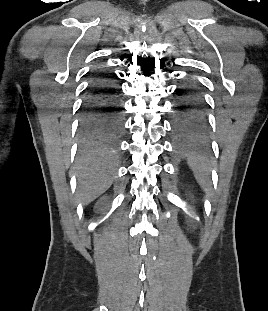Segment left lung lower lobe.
<instances>
[{
    "label": "left lung lower lobe",
    "instance_id": "obj_1",
    "mask_svg": "<svg viewBox=\"0 0 268 311\" xmlns=\"http://www.w3.org/2000/svg\"><path fill=\"white\" fill-rule=\"evenodd\" d=\"M177 95L179 99L173 111L177 132H171V139L174 141H205L208 120L197 81L186 80L183 88L177 90Z\"/></svg>",
    "mask_w": 268,
    "mask_h": 311
}]
</instances>
